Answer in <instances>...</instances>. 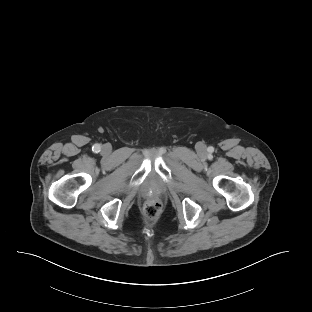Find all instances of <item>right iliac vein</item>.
<instances>
[{
    "mask_svg": "<svg viewBox=\"0 0 312 312\" xmlns=\"http://www.w3.org/2000/svg\"><path fill=\"white\" fill-rule=\"evenodd\" d=\"M110 151H111V147L109 145H104L102 147V152L103 153L108 154V153H110Z\"/></svg>",
    "mask_w": 312,
    "mask_h": 312,
    "instance_id": "obj_1",
    "label": "right iliac vein"
}]
</instances>
